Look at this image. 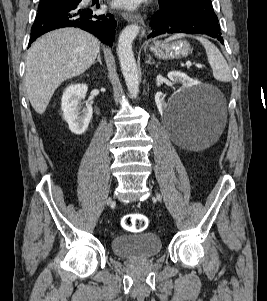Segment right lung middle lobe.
<instances>
[{"mask_svg":"<svg viewBox=\"0 0 267 301\" xmlns=\"http://www.w3.org/2000/svg\"><path fill=\"white\" fill-rule=\"evenodd\" d=\"M70 0H41L38 6V12L57 7Z\"/></svg>","mask_w":267,"mask_h":301,"instance_id":"obj_1","label":"right lung middle lobe"}]
</instances>
